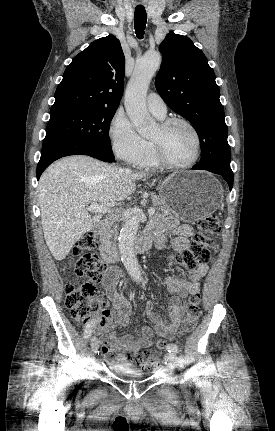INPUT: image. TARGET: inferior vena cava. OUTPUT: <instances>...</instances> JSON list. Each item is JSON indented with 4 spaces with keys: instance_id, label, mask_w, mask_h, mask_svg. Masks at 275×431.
Wrapping results in <instances>:
<instances>
[{
    "instance_id": "1",
    "label": "inferior vena cava",
    "mask_w": 275,
    "mask_h": 431,
    "mask_svg": "<svg viewBox=\"0 0 275 431\" xmlns=\"http://www.w3.org/2000/svg\"><path fill=\"white\" fill-rule=\"evenodd\" d=\"M111 219H112V221H117V217L114 215H112Z\"/></svg>"
}]
</instances>
